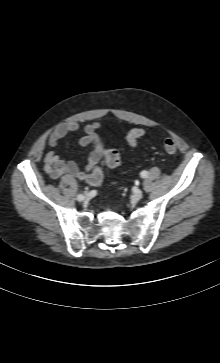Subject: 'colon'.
I'll return each mask as SVG.
<instances>
[{
  "label": "colon",
  "mask_w": 220,
  "mask_h": 363,
  "mask_svg": "<svg viewBox=\"0 0 220 363\" xmlns=\"http://www.w3.org/2000/svg\"><path fill=\"white\" fill-rule=\"evenodd\" d=\"M145 135V131L141 128L132 129L127 134V142L131 146H136L138 140ZM164 148L168 153L177 151V143L173 138L164 140ZM104 163L110 168H116L120 165L121 159L117 150L107 149L104 151ZM103 180V171L101 168H95L89 175L88 181L92 186L99 185Z\"/></svg>",
  "instance_id": "5ec220e1"
}]
</instances>
